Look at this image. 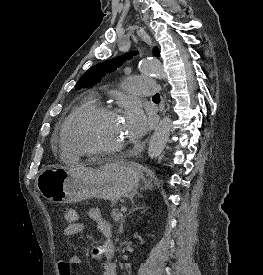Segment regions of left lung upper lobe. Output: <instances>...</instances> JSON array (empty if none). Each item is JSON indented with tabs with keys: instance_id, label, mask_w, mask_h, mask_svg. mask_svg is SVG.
Wrapping results in <instances>:
<instances>
[{
	"instance_id": "1",
	"label": "left lung upper lobe",
	"mask_w": 263,
	"mask_h": 275,
	"mask_svg": "<svg viewBox=\"0 0 263 275\" xmlns=\"http://www.w3.org/2000/svg\"><path fill=\"white\" fill-rule=\"evenodd\" d=\"M154 52L155 56H159V50L157 48H155ZM129 57V55L126 56V58ZM123 61L124 59L122 58H115L91 67L86 73H84L81 76L76 87L81 88L86 86H92L98 83L100 79L103 77V75L115 70L117 67L121 65Z\"/></svg>"
}]
</instances>
